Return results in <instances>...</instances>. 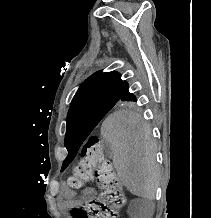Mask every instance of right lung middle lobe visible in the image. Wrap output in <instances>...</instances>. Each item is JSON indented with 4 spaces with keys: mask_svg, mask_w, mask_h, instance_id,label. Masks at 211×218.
<instances>
[{
    "mask_svg": "<svg viewBox=\"0 0 211 218\" xmlns=\"http://www.w3.org/2000/svg\"><path fill=\"white\" fill-rule=\"evenodd\" d=\"M125 90L126 87L123 91ZM136 101V98L96 100L70 107L67 115L65 142L85 140L109 111L133 108Z\"/></svg>",
    "mask_w": 211,
    "mask_h": 218,
    "instance_id": "obj_1",
    "label": "right lung middle lobe"
}]
</instances>
